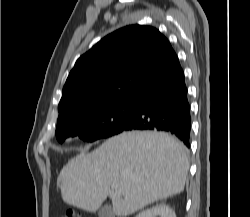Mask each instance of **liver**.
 <instances>
[{"label": "liver", "mask_w": 250, "mask_h": 217, "mask_svg": "<svg viewBox=\"0 0 250 217\" xmlns=\"http://www.w3.org/2000/svg\"><path fill=\"white\" fill-rule=\"evenodd\" d=\"M188 169L183 144L169 134L123 132L68 161L57 187L69 205L96 212L109 196L114 213L128 216L181 193Z\"/></svg>", "instance_id": "liver-1"}]
</instances>
